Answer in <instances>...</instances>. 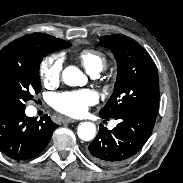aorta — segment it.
<instances>
[{"mask_svg":"<svg viewBox=\"0 0 183 183\" xmlns=\"http://www.w3.org/2000/svg\"><path fill=\"white\" fill-rule=\"evenodd\" d=\"M62 80L68 86H83L87 82V77L79 68L68 66L62 72ZM77 134L82 141H90L95 137L96 127L92 122H81Z\"/></svg>","mask_w":183,"mask_h":183,"instance_id":"obj_1","label":"aorta"}]
</instances>
